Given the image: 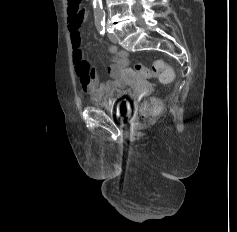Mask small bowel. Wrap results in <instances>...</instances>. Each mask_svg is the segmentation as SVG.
Instances as JSON below:
<instances>
[{
  "label": "small bowel",
  "instance_id": "1",
  "mask_svg": "<svg viewBox=\"0 0 237 232\" xmlns=\"http://www.w3.org/2000/svg\"><path fill=\"white\" fill-rule=\"evenodd\" d=\"M84 20L85 15L82 17L70 15L68 18L75 70L80 78L83 91L89 95L92 101H103L106 104H112L119 100L125 91L123 74L128 66V54L114 45L108 48L109 53L112 55V61L107 70L110 80L100 83L96 70L90 68L81 48L80 28Z\"/></svg>",
  "mask_w": 237,
  "mask_h": 232
}]
</instances>
